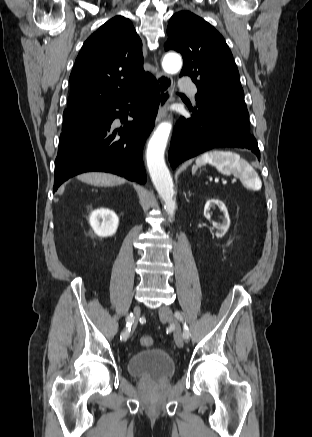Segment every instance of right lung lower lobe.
I'll use <instances>...</instances> for the list:
<instances>
[{
	"mask_svg": "<svg viewBox=\"0 0 312 437\" xmlns=\"http://www.w3.org/2000/svg\"><path fill=\"white\" fill-rule=\"evenodd\" d=\"M159 103V84L150 75L139 87L101 109L100 115L62 131L54 192L69 178L88 171L110 172L144 184L142 150L154 127ZM128 114L133 121H126ZM115 118H120L124 127L115 128Z\"/></svg>",
	"mask_w": 312,
	"mask_h": 437,
	"instance_id": "right-lung-lower-lobe-1",
	"label": "right lung lower lobe"
}]
</instances>
